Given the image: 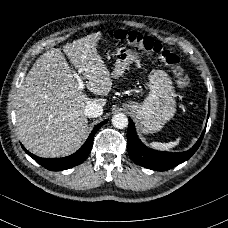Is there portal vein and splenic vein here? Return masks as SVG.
Here are the masks:
<instances>
[{
  "label": "portal vein and splenic vein",
  "mask_w": 228,
  "mask_h": 228,
  "mask_svg": "<svg viewBox=\"0 0 228 228\" xmlns=\"http://www.w3.org/2000/svg\"><path fill=\"white\" fill-rule=\"evenodd\" d=\"M74 77L76 78V80L78 82V89L79 90L84 89V82L82 81L81 77L77 73L74 74Z\"/></svg>",
  "instance_id": "portal-vein-and-splenic-vein-1"
}]
</instances>
